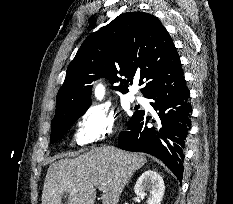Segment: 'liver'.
<instances>
[{
	"instance_id": "liver-1",
	"label": "liver",
	"mask_w": 233,
	"mask_h": 204,
	"mask_svg": "<svg viewBox=\"0 0 233 204\" xmlns=\"http://www.w3.org/2000/svg\"><path fill=\"white\" fill-rule=\"evenodd\" d=\"M147 162L146 157L114 146L93 148L74 159H60L47 171L42 204H94L96 187L103 186L102 204H117L132 175Z\"/></svg>"
}]
</instances>
